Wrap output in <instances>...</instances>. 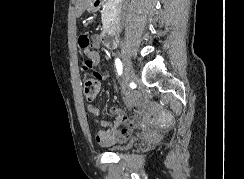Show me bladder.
<instances>
[{
  "label": "bladder",
  "instance_id": "1",
  "mask_svg": "<svg viewBox=\"0 0 244 179\" xmlns=\"http://www.w3.org/2000/svg\"><path fill=\"white\" fill-rule=\"evenodd\" d=\"M118 148V146H115L114 149L116 150Z\"/></svg>",
  "mask_w": 244,
  "mask_h": 179
}]
</instances>
